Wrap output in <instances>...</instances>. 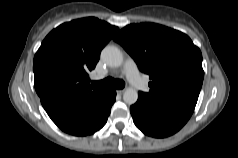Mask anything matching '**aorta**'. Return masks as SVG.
<instances>
[{
  "label": "aorta",
  "mask_w": 238,
  "mask_h": 158,
  "mask_svg": "<svg viewBox=\"0 0 238 158\" xmlns=\"http://www.w3.org/2000/svg\"><path fill=\"white\" fill-rule=\"evenodd\" d=\"M102 60L111 67H119L123 63V54L115 46H106L101 52ZM138 92L132 87L125 89L123 100L125 103L132 105L137 102Z\"/></svg>",
  "instance_id": "aorta-1"
}]
</instances>
